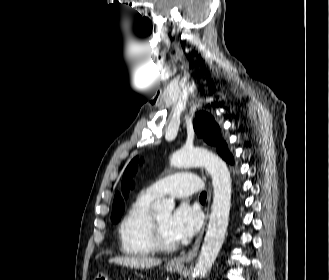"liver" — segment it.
<instances>
[{"label": "liver", "mask_w": 329, "mask_h": 280, "mask_svg": "<svg viewBox=\"0 0 329 280\" xmlns=\"http://www.w3.org/2000/svg\"><path fill=\"white\" fill-rule=\"evenodd\" d=\"M109 263H115L136 269H148L160 265L161 260L146 256H117L110 258Z\"/></svg>", "instance_id": "obj_1"}]
</instances>
